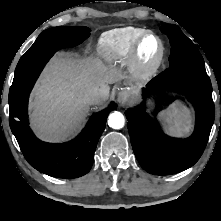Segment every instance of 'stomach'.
I'll return each mask as SVG.
<instances>
[{"mask_svg":"<svg viewBox=\"0 0 221 221\" xmlns=\"http://www.w3.org/2000/svg\"><path fill=\"white\" fill-rule=\"evenodd\" d=\"M129 93H130L134 98H137V97H138L137 92H136L135 89H130V90H129Z\"/></svg>","mask_w":221,"mask_h":221,"instance_id":"0dacf381","label":"stomach"}]
</instances>
